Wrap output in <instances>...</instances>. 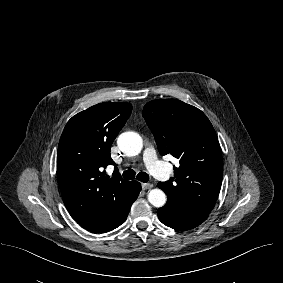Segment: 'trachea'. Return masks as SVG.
I'll return each mask as SVG.
<instances>
[{
	"label": "trachea",
	"mask_w": 283,
	"mask_h": 283,
	"mask_svg": "<svg viewBox=\"0 0 283 283\" xmlns=\"http://www.w3.org/2000/svg\"><path fill=\"white\" fill-rule=\"evenodd\" d=\"M135 175H136V173L132 169H128V170L123 172V178L126 179V180H133L135 178ZM136 179H138L141 182L146 183L149 180V175L146 172H139L136 175Z\"/></svg>",
	"instance_id": "obj_1"
}]
</instances>
